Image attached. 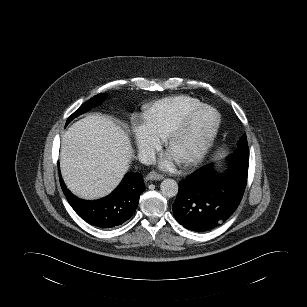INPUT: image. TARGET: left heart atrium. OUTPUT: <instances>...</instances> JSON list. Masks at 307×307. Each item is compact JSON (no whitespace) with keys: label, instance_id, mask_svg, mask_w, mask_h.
<instances>
[{"label":"left heart atrium","instance_id":"1","mask_svg":"<svg viewBox=\"0 0 307 307\" xmlns=\"http://www.w3.org/2000/svg\"><path fill=\"white\" fill-rule=\"evenodd\" d=\"M173 158L172 157H168L166 160H164L163 162H162V166L164 167V168H168V167H171L172 165H173Z\"/></svg>","mask_w":307,"mask_h":307}]
</instances>
